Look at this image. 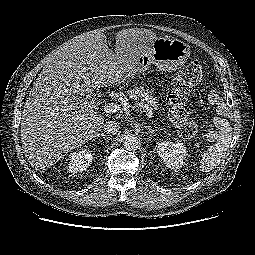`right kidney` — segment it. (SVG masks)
Returning a JSON list of instances; mask_svg holds the SVG:
<instances>
[{"instance_id":"ca27d5eb","label":"right kidney","mask_w":255,"mask_h":255,"mask_svg":"<svg viewBox=\"0 0 255 255\" xmlns=\"http://www.w3.org/2000/svg\"><path fill=\"white\" fill-rule=\"evenodd\" d=\"M68 160L67 169L69 172L75 174L86 170L92 163L93 154L89 149H81L80 151L71 153Z\"/></svg>"}]
</instances>
